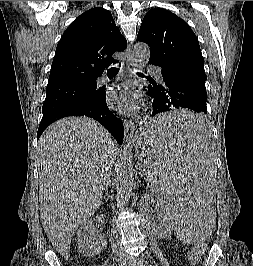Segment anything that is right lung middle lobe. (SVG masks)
<instances>
[{
	"label": "right lung middle lobe",
	"instance_id": "dd1d6c3e",
	"mask_svg": "<svg viewBox=\"0 0 253 266\" xmlns=\"http://www.w3.org/2000/svg\"><path fill=\"white\" fill-rule=\"evenodd\" d=\"M102 95L101 89L97 88L96 80L47 87L41 123L89 109L101 100Z\"/></svg>",
	"mask_w": 253,
	"mask_h": 266
}]
</instances>
